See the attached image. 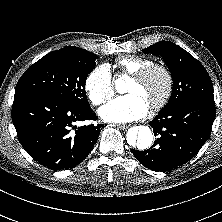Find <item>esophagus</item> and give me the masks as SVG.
<instances>
[{"label": "esophagus", "mask_w": 222, "mask_h": 222, "mask_svg": "<svg viewBox=\"0 0 222 222\" xmlns=\"http://www.w3.org/2000/svg\"><path fill=\"white\" fill-rule=\"evenodd\" d=\"M130 127V125H127V124H119L118 125V128L121 129V130H126Z\"/></svg>", "instance_id": "esophagus-1"}]
</instances>
